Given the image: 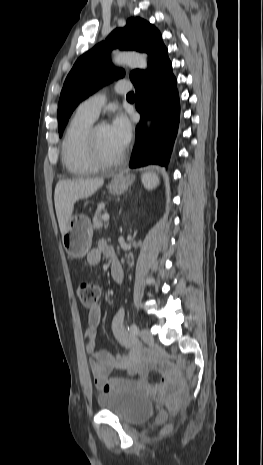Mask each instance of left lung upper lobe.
Instances as JSON below:
<instances>
[{
	"mask_svg": "<svg viewBox=\"0 0 263 465\" xmlns=\"http://www.w3.org/2000/svg\"><path fill=\"white\" fill-rule=\"evenodd\" d=\"M160 32L141 18H129L124 28L115 29L104 42L78 58L68 74L60 94L58 106L59 136L76 106L100 87L122 78L124 70L116 69L110 62L109 53L113 48L136 50L147 53L149 58L161 46ZM141 70L130 73L132 80Z\"/></svg>",
	"mask_w": 263,
	"mask_h": 465,
	"instance_id": "5c2ea615",
	"label": "left lung upper lobe"
}]
</instances>
